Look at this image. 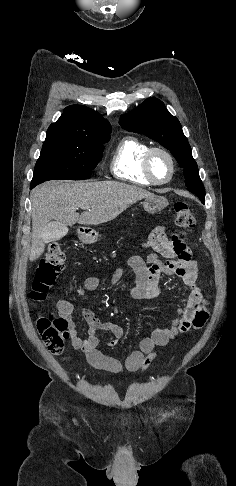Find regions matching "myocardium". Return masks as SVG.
Masks as SVG:
<instances>
[{
	"mask_svg": "<svg viewBox=\"0 0 236 486\" xmlns=\"http://www.w3.org/2000/svg\"><path fill=\"white\" fill-rule=\"evenodd\" d=\"M160 153L164 155L170 164V174L165 180H157L151 171V159L154 154ZM142 170L146 179L153 185H164L169 183L174 177L176 171V165L173 156L169 151L161 147H150L144 154L142 161Z\"/></svg>",
	"mask_w": 236,
	"mask_h": 486,
	"instance_id": "obj_1",
	"label": "myocardium"
}]
</instances>
